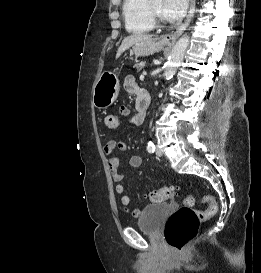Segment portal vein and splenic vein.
<instances>
[{
    "instance_id": "obj_1",
    "label": "portal vein and splenic vein",
    "mask_w": 261,
    "mask_h": 273,
    "mask_svg": "<svg viewBox=\"0 0 261 273\" xmlns=\"http://www.w3.org/2000/svg\"><path fill=\"white\" fill-rule=\"evenodd\" d=\"M146 74V72H144L141 76L140 79L143 80L144 79V75Z\"/></svg>"
}]
</instances>
